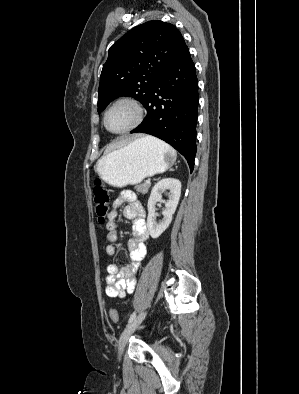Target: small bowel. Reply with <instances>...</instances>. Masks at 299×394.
<instances>
[{"instance_id":"small-bowel-1","label":"small bowel","mask_w":299,"mask_h":394,"mask_svg":"<svg viewBox=\"0 0 299 394\" xmlns=\"http://www.w3.org/2000/svg\"><path fill=\"white\" fill-rule=\"evenodd\" d=\"M123 204H126L123 210L124 217L132 220V237L127 242L129 261L122 267L116 263L107 266L106 292L110 297H122L125 291L133 292L136 285V270L146 255L145 242L148 238L146 213L136 194L130 190L122 191L112 203L106 223L109 244L105 251L109 256L116 254L113 243L119 239L117 217L118 210Z\"/></svg>"}]
</instances>
